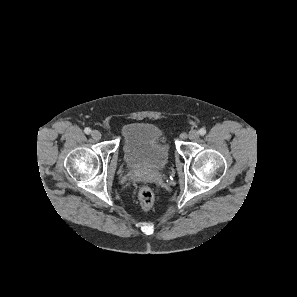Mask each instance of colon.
I'll return each instance as SVG.
<instances>
[{
  "instance_id": "colon-1",
  "label": "colon",
  "mask_w": 297,
  "mask_h": 297,
  "mask_svg": "<svg viewBox=\"0 0 297 297\" xmlns=\"http://www.w3.org/2000/svg\"><path fill=\"white\" fill-rule=\"evenodd\" d=\"M138 200L143 211L150 210L154 203L153 191L147 186L142 187L138 193Z\"/></svg>"
}]
</instances>
